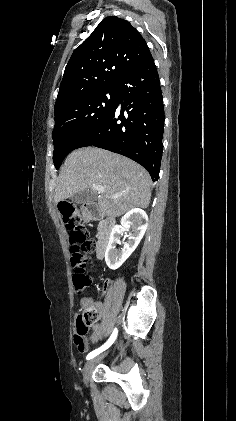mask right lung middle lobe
<instances>
[{"mask_svg": "<svg viewBox=\"0 0 236 421\" xmlns=\"http://www.w3.org/2000/svg\"><path fill=\"white\" fill-rule=\"evenodd\" d=\"M117 104V89L109 88L75 97L54 110L53 161L59 169L63 159L106 119Z\"/></svg>", "mask_w": 236, "mask_h": 421, "instance_id": "dd1d6c3e", "label": "right lung middle lobe"}]
</instances>
